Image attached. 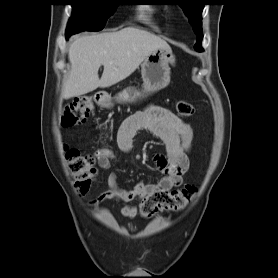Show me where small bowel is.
I'll list each match as a JSON object with an SVG mask.
<instances>
[{
  "label": "small bowel",
  "instance_id": "1",
  "mask_svg": "<svg viewBox=\"0 0 278 278\" xmlns=\"http://www.w3.org/2000/svg\"><path fill=\"white\" fill-rule=\"evenodd\" d=\"M139 131H148L165 144V152L155 156L154 160L163 177L156 183L138 182L133 189H125L118 185L117 176L111 173L108 178L109 188L96 196L90 203L99 205L107 200L123 204L121 214L133 218L137 214L134 200H142L149 194L158 191H171L180 186L183 175L189 167L188 153L193 143L192 127L170 110L161 106L151 105L146 109L127 118L119 128L117 143L123 152H130L133 141ZM188 138L186 145L182 140ZM113 156H99L98 165L101 169H110Z\"/></svg>",
  "mask_w": 278,
  "mask_h": 278
}]
</instances>
